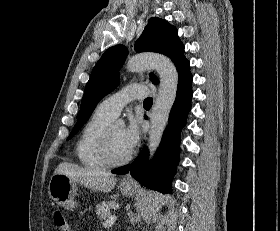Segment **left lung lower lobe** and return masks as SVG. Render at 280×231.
<instances>
[{"label":"left lung lower lobe","mask_w":280,"mask_h":231,"mask_svg":"<svg viewBox=\"0 0 280 231\" xmlns=\"http://www.w3.org/2000/svg\"><path fill=\"white\" fill-rule=\"evenodd\" d=\"M191 83L192 75L187 65L178 76L177 96L155 160L148 161V150L144 148L131 165L117 168L112 173L125 174L130 171L131 176L142 185L162 193L171 192V180L179 161L180 132L191 109Z\"/></svg>","instance_id":"1"}]
</instances>
